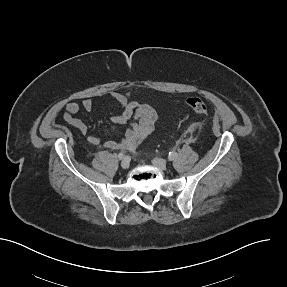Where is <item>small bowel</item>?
I'll list each match as a JSON object with an SVG mask.
<instances>
[{"label": "small bowel", "instance_id": "obj_1", "mask_svg": "<svg viewBox=\"0 0 287 287\" xmlns=\"http://www.w3.org/2000/svg\"><path fill=\"white\" fill-rule=\"evenodd\" d=\"M111 96L117 101L120 112L112 118L114 125L131 123L125 135L120 139L102 140L99 136L89 135L87 141L90 145L103 147L110 150H130L147 138L154 130L157 113L148 103H138L132 99L130 94L112 92ZM81 109L90 112L93 109V101L84 99L81 104L69 102L63 115L64 121L77 130L81 135H87V125L77 118Z\"/></svg>", "mask_w": 287, "mask_h": 287}]
</instances>
